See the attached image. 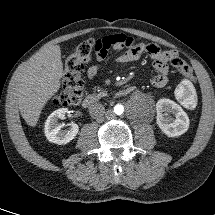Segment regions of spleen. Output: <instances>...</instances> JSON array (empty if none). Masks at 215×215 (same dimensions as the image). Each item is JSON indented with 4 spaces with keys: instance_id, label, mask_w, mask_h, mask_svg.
I'll use <instances>...</instances> for the list:
<instances>
[{
    "instance_id": "1",
    "label": "spleen",
    "mask_w": 215,
    "mask_h": 215,
    "mask_svg": "<svg viewBox=\"0 0 215 215\" xmlns=\"http://www.w3.org/2000/svg\"><path fill=\"white\" fill-rule=\"evenodd\" d=\"M187 90L188 93H189V96L184 99V103L187 105V106H192L195 104V96H194V89H193V86L192 84L189 82V81H183L178 89L176 90V95L178 98L182 97L184 91Z\"/></svg>"
}]
</instances>
